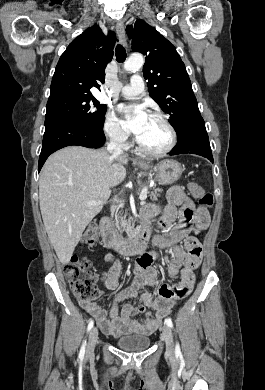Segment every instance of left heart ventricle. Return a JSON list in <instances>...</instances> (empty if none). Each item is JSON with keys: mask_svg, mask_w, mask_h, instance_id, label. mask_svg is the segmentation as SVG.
<instances>
[{"mask_svg": "<svg viewBox=\"0 0 265 390\" xmlns=\"http://www.w3.org/2000/svg\"><path fill=\"white\" fill-rule=\"evenodd\" d=\"M137 137L143 146L154 151L166 147L170 140L169 132L164 124L151 116H148Z\"/></svg>", "mask_w": 265, "mask_h": 390, "instance_id": "obj_1", "label": "left heart ventricle"}]
</instances>
